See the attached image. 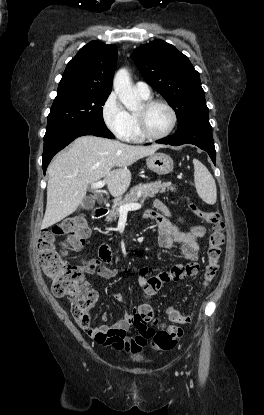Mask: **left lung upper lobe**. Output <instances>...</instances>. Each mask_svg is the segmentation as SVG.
I'll use <instances>...</instances> for the list:
<instances>
[{"label":"left lung upper lobe","instance_id":"obj_1","mask_svg":"<svg viewBox=\"0 0 264 415\" xmlns=\"http://www.w3.org/2000/svg\"><path fill=\"white\" fill-rule=\"evenodd\" d=\"M132 58L147 83L175 110L178 128L194 118L208 116L199 73L174 46L155 40L135 49Z\"/></svg>","mask_w":264,"mask_h":415}]
</instances>
